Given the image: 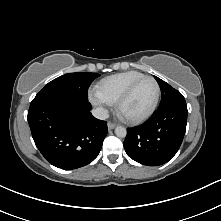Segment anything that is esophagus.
Returning <instances> with one entry per match:
<instances>
[{
    "mask_svg": "<svg viewBox=\"0 0 221 221\" xmlns=\"http://www.w3.org/2000/svg\"><path fill=\"white\" fill-rule=\"evenodd\" d=\"M107 126H108L109 130H112V129H114L116 127V124L112 123V122H108Z\"/></svg>",
    "mask_w": 221,
    "mask_h": 221,
    "instance_id": "obj_1",
    "label": "esophagus"
}]
</instances>
